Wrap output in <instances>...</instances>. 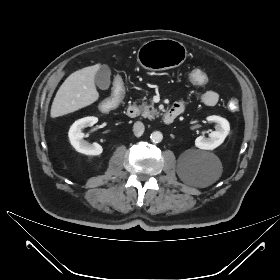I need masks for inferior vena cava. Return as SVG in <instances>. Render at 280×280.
Masks as SVG:
<instances>
[{"label": "inferior vena cava", "mask_w": 280, "mask_h": 280, "mask_svg": "<svg viewBox=\"0 0 280 280\" xmlns=\"http://www.w3.org/2000/svg\"><path fill=\"white\" fill-rule=\"evenodd\" d=\"M144 124L140 121H137L134 123L133 125V132H134V135L139 137L143 134L144 132Z\"/></svg>", "instance_id": "602c4592"}]
</instances>
